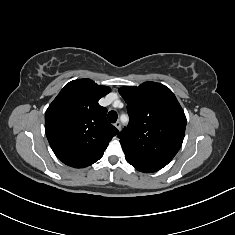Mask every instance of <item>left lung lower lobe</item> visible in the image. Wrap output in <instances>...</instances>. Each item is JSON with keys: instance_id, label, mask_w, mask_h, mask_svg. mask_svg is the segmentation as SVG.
<instances>
[{"instance_id": "1", "label": "left lung lower lobe", "mask_w": 235, "mask_h": 235, "mask_svg": "<svg viewBox=\"0 0 235 235\" xmlns=\"http://www.w3.org/2000/svg\"><path fill=\"white\" fill-rule=\"evenodd\" d=\"M127 162L134 166L138 171L144 172V173H151V172H156L161 169V167L151 165L142 161H139L137 159H132L125 157Z\"/></svg>"}]
</instances>
